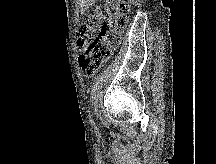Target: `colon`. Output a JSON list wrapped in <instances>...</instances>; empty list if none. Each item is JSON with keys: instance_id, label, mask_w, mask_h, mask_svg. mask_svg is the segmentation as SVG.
<instances>
[{"instance_id": "obj_1", "label": "colon", "mask_w": 216, "mask_h": 164, "mask_svg": "<svg viewBox=\"0 0 216 164\" xmlns=\"http://www.w3.org/2000/svg\"><path fill=\"white\" fill-rule=\"evenodd\" d=\"M130 4L126 0H107L87 18L77 35L79 59L85 76H93L111 55L126 28Z\"/></svg>"}]
</instances>
